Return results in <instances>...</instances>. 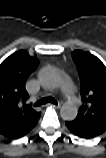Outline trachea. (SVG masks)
I'll use <instances>...</instances> for the list:
<instances>
[{"instance_id":"trachea-1","label":"trachea","mask_w":106,"mask_h":158,"mask_svg":"<svg viewBox=\"0 0 106 158\" xmlns=\"http://www.w3.org/2000/svg\"><path fill=\"white\" fill-rule=\"evenodd\" d=\"M46 103L57 104V101L52 97H45V98H42L41 100H39L38 102H36V105L39 106V105H43Z\"/></svg>"}]
</instances>
